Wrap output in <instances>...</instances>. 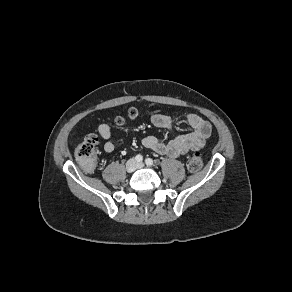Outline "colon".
<instances>
[{
  "label": "colon",
  "instance_id": "1",
  "mask_svg": "<svg viewBox=\"0 0 292 292\" xmlns=\"http://www.w3.org/2000/svg\"><path fill=\"white\" fill-rule=\"evenodd\" d=\"M138 117V111L130 109L126 116H120L116 119L118 125H124L128 120H135ZM99 137L96 133H90L77 145L75 149L76 159L81 167L86 171L94 170L97 162ZM204 159L200 152H194L188 160V169L196 172L203 167Z\"/></svg>",
  "mask_w": 292,
  "mask_h": 292
}]
</instances>
